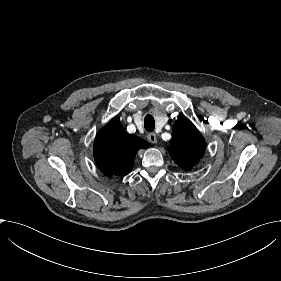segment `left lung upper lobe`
Segmentation results:
<instances>
[{
  "mask_svg": "<svg viewBox=\"0 0 281 281\" xmlns=\"http://www.w3.org/2000/svg\"><path fill=\"white\" fill-rule=\"evenodd\" d=\"M206 143L191 121L179 117L175 122L169 152L184 170H190L203 157Z\"/></svg>",
  "mask_w": 281,
  "mask_h": 281,
  "instance_id": "5c2ea615",
  "label": "left lung upper lobe"
}]
</instances>
